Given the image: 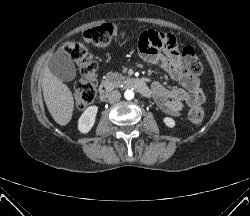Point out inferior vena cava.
Masks as SVG:
<instances>
[{
	"label": "inferior vena cava",
	"mask_w": 250,
	"mask_h": 216,
	"mask_svg": "<svg viewBox=\"0 0 250 216\" xmlns=\"http://www.w3.org/2000/svg\"><path fill=\"white\" fill-rule=\"evenodd\" d=\"M121 99V93L117 90L112 91L108 94V101L110 103H115Z\"/></svg>",
	"instance_id": "1"
}]
</instances>
